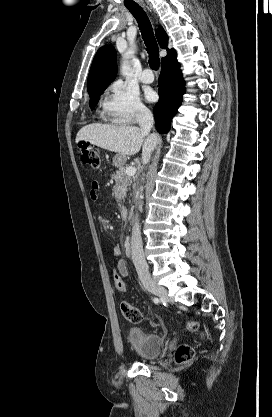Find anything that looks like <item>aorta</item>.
<instances>
[{"label": "aorta", "instance_id": "1", "mask_svg": "<svg viewBox=\"0 0 272 417\" xmlns=\"http://www.w3.org/2000/svg\"><path fill=\"white\" fill-rule=\"evenodd\" d=\"M134 53H135V47H134V46H131V47L128 49V51L126 52L125 56L123 57V61H122V63H121V74H122L123 76L128 75V74H129V72H130V65H129V63H128L127 58H128L130 55L134 54Z\"/></svg>", "mask_w": 272, "mask_h": 417}]
</instances>
